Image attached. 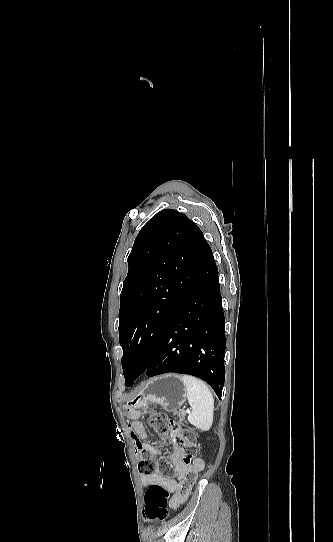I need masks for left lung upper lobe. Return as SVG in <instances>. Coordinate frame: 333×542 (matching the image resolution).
<instances>
[{"label":"left lung upper lobe","mask_w":333,"mask_h":542,"mask_svg":"<svg viewBox=\"0 0 333 542\" xmlns=\"http://www.w3.org/2000/svg\"><path fill=\"white\" fill-rule=\"evenodd\" d=\"M211 253L202 231L172 209L138 233L120 295L119 336L125 381L148 367L161 334Z\"/></svg>","instance_id":"1"}]
</instances>
